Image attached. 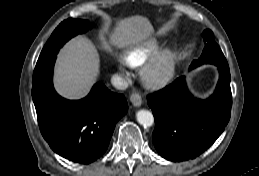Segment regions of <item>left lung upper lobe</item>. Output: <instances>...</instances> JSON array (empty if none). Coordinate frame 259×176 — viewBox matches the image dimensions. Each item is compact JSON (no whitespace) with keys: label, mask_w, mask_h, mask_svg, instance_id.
Segmentation results:
<instances>
[{"label":"left lung upper lobe","mask_w":259,"mask_h":176,"mask_svg":"<svg viewBox=\"0 0 259 176\" xmlns=\"http://www.w3.org/2000/svg\"><path fill=\"white\" fill-rule=\"evenodd\" d=\"M203 39L206 43L203 54L198 60L192 62L191 68L201 65V63H211L217 66H228L224 54L213 39V32L209 29L205 30L203 33Z\"/></svg>","instance_id":"obj_1"}]
</instances>
